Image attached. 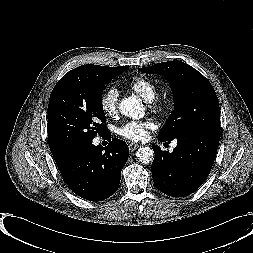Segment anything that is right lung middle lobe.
I'll use <instances>...</instances> for the list:
<instances>
[{
  "label": "right lung middle lobe",
  "mask_w": 253,
  "mask_h": 253,
  "mask_svg": "<svg viewBox=\"0 0 253 253\" xmlns=\"http://www.w3.org/2000/svg\"><path fill=\"white\" fill-rule=\"evenodd\" d=\"M128 66L105 69H73L55 85L48 105L50 149L71 153L78 145L92 141L109 130L102 108V91L110 80Z\"/></svg>",
  "instance_id": "dd1d6c3e"
}]
</instances>
